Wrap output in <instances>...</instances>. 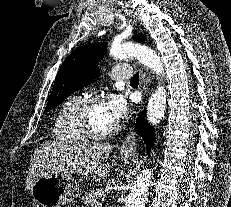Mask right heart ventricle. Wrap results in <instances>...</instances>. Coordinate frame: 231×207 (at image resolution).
<instances>
[{
	"label": "right heart ventricle",
	"mask_w": 231,
	"mask_h": 207,
	"mask_svg": "<svg viewBox=\"0 0 231 207\" xmlns=\"http://www.w3.org/2000/svg\"><path fill=\"white\" fill-rule=\"evenodd\" d=\"M81 97L77 94L69 96L59 107L53 123V136L58 141L79 142L83 137L78 133L72 120V112Z\"/></svg>",
	"instance_id": "1"
}]
</instances>
